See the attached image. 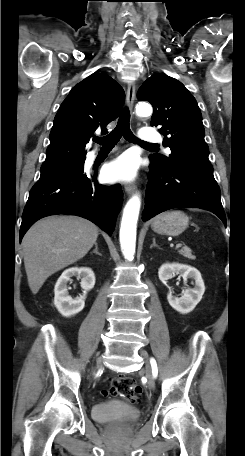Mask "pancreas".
I'll use <instances>...</instances> for the list:
<instances>
[{"label":"pancreas","mask_w":245,"mask_h":456,"mask_svg":"<svg viewBox=\"0 0 245 456\" xmlns=\"http://www.w3.org/2000/svg\"><path fill=\"white\" fill-rule=\"evenodd\" d=\"M179 254L190 259V260H194L195 259V256L192 255V250L188 247H183L182 249H180L179 251Z\"/></svg>","instance_id":"1"}]
</instances>
